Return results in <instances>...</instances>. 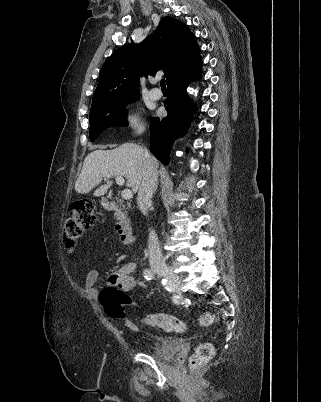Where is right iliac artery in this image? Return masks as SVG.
Wrapping results in <instances>:
<instances>
[{
	"mask_svg": "<svg viewBox=\"0 0 321 402\" xmlns=\"http://www.w3.org/2000/svg\"><path fill=\"white\" fill-rule=\"evenodd\" d=\"M143 274H144V277H145L147 280L155 279V274H154V272H153L152 270H150V269H145L144 272H143ZM162 284L165 286V289H167L168 291H170V292L173 291V286H172V284H171L169 281H167L166 279H162ZM177 298H178V297L174 296V301H175V302H177Z\"/></svg>",
	"mask_w": 321,
	"mask_h": 402,
	"instance_id": "right-iliac-artery-1",
	"label": "right iliac artery"
}]
</instances>
